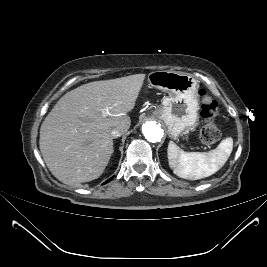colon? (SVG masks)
Returning <instances> with one entry per match:
<instances>
[{
	"label": "colon",
	"mask_w": 267,
	"mask_h": 267,
	"mask_svg": "<svg viewBox=\"0 0 267 267\" xmlns=\"http://www.w3.org/2000/svg\"><path fill=\"white\" fill-rule=\"evenodd\" d=\"M198 94L201 98V115L205 119L200 130V139L204 144L211 145L220 138V131L214 123L219 113L218 104L205 90H200Z\"/></svg>",
	"instance_id": "5ec220e1"
}]
</instances>
